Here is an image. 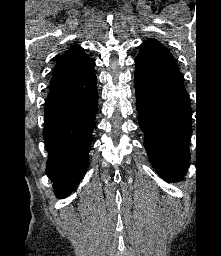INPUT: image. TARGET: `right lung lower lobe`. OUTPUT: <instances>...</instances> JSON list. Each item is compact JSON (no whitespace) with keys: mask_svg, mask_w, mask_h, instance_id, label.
Listing matches in <instances>:
<instances>
[{"mask_svg":"<svg viewBox=\"0 0 221 256\" xmlns=\"http://www.w3.org/2000/svg\"><path fill=\"white\" fill-rule=\"evenodd\" d=\"M97 98L95 88L44 110V140L49 154L46 174L53 181L58 198L69 195L86 172Z\"/></svg>","mask_w":221,"mask_h":256,"instance_id":"obj_1","label":"right lung lower lobe"}]
</instances>
